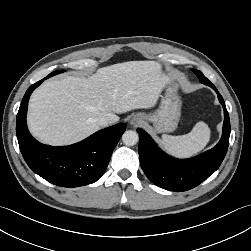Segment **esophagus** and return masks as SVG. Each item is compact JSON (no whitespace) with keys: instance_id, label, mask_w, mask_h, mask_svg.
<instances>
[{"instance_id":"obj_1","label":"esophagus","mask_w":251,"mask_h":251,"mask_svg":"<svg viewBox=\"0 0 251 251\" xmlns=\"http://www.w3.org/2000/svg\"><path fill=\"white\" fill-rule=\"evenodd\" d=\"M142 123V118L140 116H134L131 120H130V125L133 127H137Z\"/></svg>"}]
</instances>
